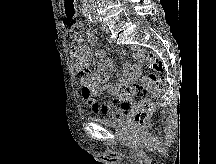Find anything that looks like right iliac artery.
Listing matches in <instances>:
<instances>
[{"label": "right iliac artery", "mask_w": 216, "mask_h": 164, "mask_svg": "<svg viewBox=\"0 0 216 164\" xmlns=\"http://www.w3.org/2000/svg\"><path fill=\"white\" fill-rule=\"evenodd\" d=\"M90 21H92V22H96L97 20H96V19H90Z\"/></svg>", "instance_id": "right-iliac-artery-1"}]
</instances>
